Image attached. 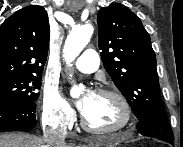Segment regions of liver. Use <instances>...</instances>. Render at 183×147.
I'll list each match as a JSON object with an SVG mask.
<instances>
[{"label":"liver","instance_id":"6515ba94","mask_svg":"<svg viewBox=\"0 0 183 147\" xmlns=\"http://www.w3.org/2000/svg\"><path fill=\"white\" fill-rule=\"evenodd\" d=\"M93 145V144H90ZM0 147H47L43 139L29 134H0ZM72 147V146H62Z\"/></svg>","mask_w":183,"mask_h":147}]
</instances>
